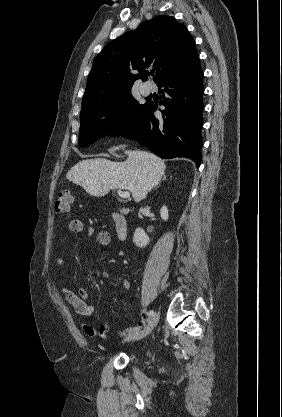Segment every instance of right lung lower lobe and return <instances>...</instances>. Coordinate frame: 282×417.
Returning a JSON list of instances; mask_svg holds the SVG:
<instances>
[{"label":"right lung lower lobe","instance_id":"obj_1","mask_svg":"<svg viewBox=\"0 0 282 417\" xmlns=\"http://www.w3.org/2000/svg\"><path fill=\"white\" fill-rule=\"evenodd\" d=\"M202 80L199 58L161 79L157 86L163 88L164 101L160 103L166 107L162 111L163 120L154 117L157 105L149 102L133 122L132 129L120 136L137 140L161 158L186 157L199 167L204 109Z\"/></svg>","mask_w":282,"mask_h":417}]
</instances>
